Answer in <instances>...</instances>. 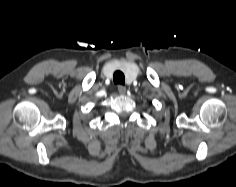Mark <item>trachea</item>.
<instances>
[{
    "instance_id": "1",
    "label": "trachea",
    "mask_w": 236,
    "mask_h": 187,
    "mask_svg": "<svg viewBox=\"0 0 236 187\" xmlns=\"http://www.w3.org/2000/svg\"><path fill=\"white\" fill-rule=\"evenodd\" d=\"M113 81L115 84H125V77L124 74L121 71H116L113 75Z\"/></svg>"
}]
</instances>
